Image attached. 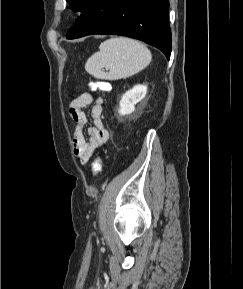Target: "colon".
Wrapping results in <instances>:
<instances>
[{
  "label": "colon",
  "instance_id": "5ec220e1",
  "mask_svg": "<svg viewBox=\"0 0 243 289\" xmlns=\"http://www.w3.org/2000/svg\"><path fill=\"white\" fill-rule=\"evenodd\" d=\"M89 87L95 90H104L105 84L102 82H90ZM101 169H102V163H101V159L98 157L92 163V172L94 175H98L101 172Z\"/></svg>",
  "mask_w": 243,
  "mask_h": 289
}]
</instances>
